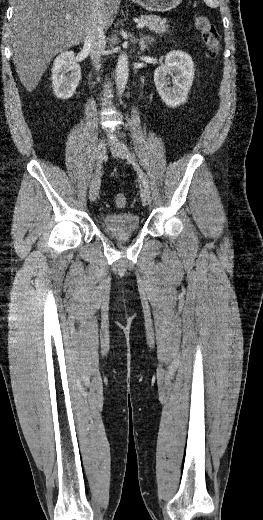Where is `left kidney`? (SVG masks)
Wrapping results in <instances>:
<instances>
[{"mask_svg": "<svg viewBox=\"0 0 263 520\" xmlns=\"http://www.w3.org/2000/svg\"><path fill=\"white\" fill-rule=\"evenodd\" d=\"M194 63L187 53L169 52L165 57V65L158 67L154 73L156 89L168 107H178L187 100L188 92L194 79ZM172 76L173 87H169Z\"/></svg>", "mask_w": 263, "mask_h": 520, "instance_id": "1", "label": "left kidney"}]
</instances>
